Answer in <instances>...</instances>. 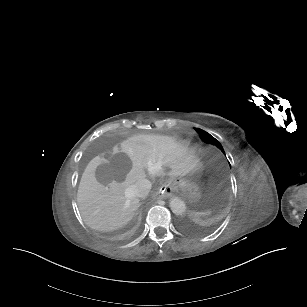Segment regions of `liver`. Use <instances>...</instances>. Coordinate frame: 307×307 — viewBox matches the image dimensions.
Segmentation results:
<instances>
[{
  "label": "liver",
  "instance_id": "1",
  "mask_svg": "<svg viewBox=\"0 0 307 307\" xmlns=\"http://www.w3.org/2000/svg\"><path fill=\"white\" fill-rule=\"evenodd\" d=\"M198 160L168 136L138 135L91 160L82 174L77 201L84 222L93 229L112 230L131 220L139 199L133 186L150 176H185ZM129 172V173H128Z\"/></svg>",
  "mask_w": 307,
  "mask_h": 307
}]
</instances>
